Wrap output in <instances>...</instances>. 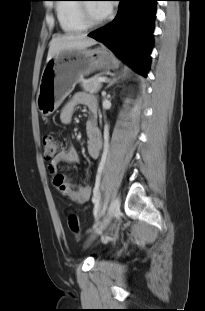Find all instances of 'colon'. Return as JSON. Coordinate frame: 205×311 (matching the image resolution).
<instances>
[{
    "label": "colon",
    "mask_w": 205,
    "mask_h": 311,
    "mask_svg": "<svg viewBox=\"0 0 205 311\" xmlns=\"http://www.w3.org/2000/svg\"><path fill=\"white\" fill-rule=\"evenodd\" d=\"M43 146H44V159L46 161H51L55 157V155H57L60 152L61 141L59 139L54 138L53 136L46 135L43 138ZM67 225L69 230L77 238H80L81 236L80 222L76 214L71 213L68 215Z\"/></svg>",
    "instance_id": "colon-1"
}]
</instances>
